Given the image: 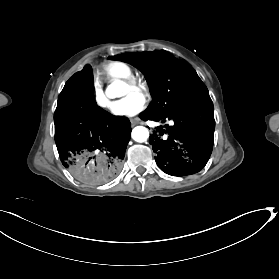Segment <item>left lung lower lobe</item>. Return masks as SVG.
<instances>
[{"instance_id":"1","label":"left lung lower lobe","mask_w":279,"mask_h":279,"mask_svg":"<svg viewBox=\"0 0 279 279\" xmlns=\"http://www.w3.org/2000/svg\"><path fill=\"white\" fill-rule=\"evenodd\" d=\"M211 98L205 97L164 116L143 112L140 118L166 122L174 125L162 126L150 137L156 153L157 165L172 176H185L200 171L210 158L215 121Z\"/></svg>"}]
</instances>
